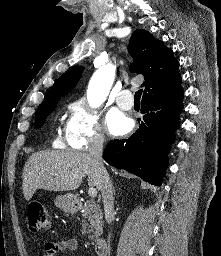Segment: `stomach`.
I'll list each match as a JSON object with an SVG mask.
<instances>
[{
    "instance_id": "obj_1",
    "label": "stomach",
    "mask_w": 221,
    "mask_h": 256,
    "mask_svg": "<svg viewBox=\"0 0 221 256\" xmlns=\"http://www.w3.org/2000/svg\"><path fill=\"white\" fill-rule=\"evenodd\" d=\"M55 204L67 213L74 212L76 210V197L73 194H65L56 197Z\"/></svg>"
}]
</instances>
